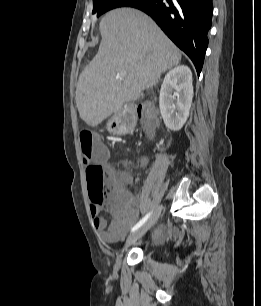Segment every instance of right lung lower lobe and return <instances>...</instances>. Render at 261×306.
Here are the masks:
<instances>
[{
	"label": "right lung lower lobe",
	"mask_w": 261,
	"mask_h": 306,
	"mask_svg": "<svg viewBox=\"0 0 261 306\" xmlns=\"http://www.w3.org/2000/svg\"><path fill=\"white\" fill-rule=\"evenodd\" d=\"M131 7L150 15L200 74L212 23V0H139Z\"/></svg>",
	"instance_id": "right-lung-lower-lobe-1"
}]
</instances>
